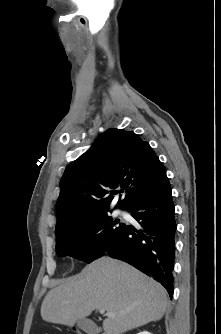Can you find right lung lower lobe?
<instances>
[{"label": "right lung lower lobe", "instance_id": "obj_1", "mask_svg": "<svg viewBox=\"0 0 221 334\" xmlns=\"http://www.w3.org/2000/svg\"><path fill=\"white\" fill-rule=\"evenodd\" d=\"M141 225H126L119 238L106 250L160 282L173 295L176 221L171 186L167 176L128 209Z\"/></svg>", "mask_w": 221, "mask_h": 334}]
</instances>
